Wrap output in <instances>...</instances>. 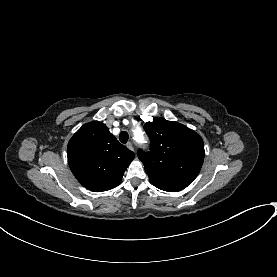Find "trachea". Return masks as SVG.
I'll use <instances>...</instances> for the list:
<instances>
[{"label":"trachea","instance_id":"obj_1","mask_svg":"<svg viewBox=\"0 0 277 277\" xmlns=\"http://www.w3.org/2000/svg\"><path fill=\"white\" fill-rule=\"evenodd\" d=\"M129 139V135L126 131H122L120 134H119V140L122 142V143H126Z\"/></svg>","mask_w":277,"mask_h":277}]
</instances>
